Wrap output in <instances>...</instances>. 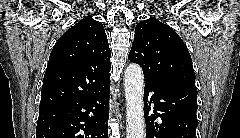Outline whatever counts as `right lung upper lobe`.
Returning <instances> with one entry per match:
<instances>
[{"instance_id":"cb5924a9","label":"right lung upper lobe","mask_w":240,"mask_h":138,"mask_svg":"<svg viewBox=\"0 0 240 138\" xmlns=\"http://www.w3.org/2000/svg\"><path fill=\"white\" fill-rule=\"evenodd\" d=\"M110 56L100 22L87 16L72 26L51 51L39 110L85 96L110 80Z\"/></svg>"}]
</instances>
